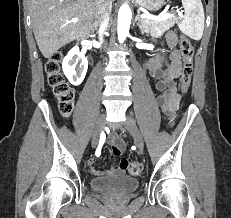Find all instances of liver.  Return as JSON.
<instances>
[{
	"label": "liver",
	"instance_id": "obj_1",
	"mask_svg": "<svg viewBox=\"0 0 231 218\" xmlns=\"http://www.w3.org/2000/svg\"><path fill=\"white\" fill-rule=\"evenodd\" d=\"M33 33L45 58L94 30L96 0H29ZM78 18L77 23L71 20Z\"/></svg>",
	"mask_w": 231,
	"mask_h": 218
}]
</instances>
